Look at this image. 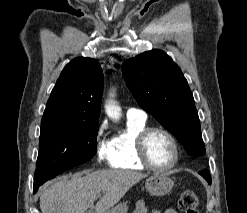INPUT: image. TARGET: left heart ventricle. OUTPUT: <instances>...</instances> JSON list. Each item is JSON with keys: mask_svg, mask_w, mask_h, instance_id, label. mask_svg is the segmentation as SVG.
<instances>
[{"mask_svg": "<svg viewBox=\"0 0 247 213\" xmlns=\"http://www.w3.org/2000/svg\"><path fill=\"white\" fill-rule=\"evenodd\" d=\"M146 153L152 164L166 167L173 160V146L169 138L161 132H153L146 142Z\"/></svg>", "mask_w": 247, "mask_h": 213, "instance_id": "left-heart-ventricle-1", "label": "left heart ventricle"}]
</instances>
